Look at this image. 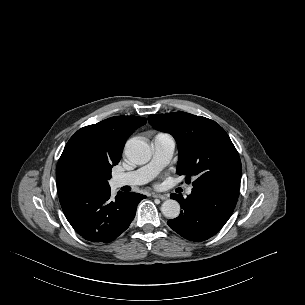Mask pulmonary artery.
Instances as JSON below:
<instances>
[{
    "label": "pulmonary artery",
    "mask_w": 305,
    "mask_h": 305,
    "mask_svg": "<svg viewBox=\"0 0 305 305\" xmlns=\"http://www.w3.org/2000/svg\"><path fill=\"white\" fill-rule=\"evenodd\" d=\"M152 147L153 158L151 162L136 171L115 175L112 178V185L115 188L136 186L150 181L171 160L175 150V140L169 134L159 133L154 137ZM191 191L192 187H189L186 193L190 194Z\"/></svg>",
    "instance_id": "e3ab8cb5"
}]
</instances>
